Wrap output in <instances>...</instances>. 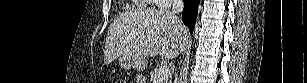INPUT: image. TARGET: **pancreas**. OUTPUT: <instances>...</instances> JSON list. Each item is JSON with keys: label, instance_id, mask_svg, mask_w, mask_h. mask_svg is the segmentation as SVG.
<instances>
[{"label": "pancreas", "instance_id": "pancreas-1", "mask_svg": "<svg viewBox=\"0 0 307 83\" xmlns=\"http://www.w3.org/2000/svg\"><path fill=\"white\" fill-rule=\"evenodd\" d=\"M158 69H155L152 73H151V79L154 80L156 75H157Z\"/></svg>", "mask_w": 307, "mask_h": 83}]
</instances>
